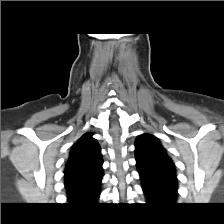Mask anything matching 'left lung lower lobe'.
<instances>
[{
    "mask_svg": "<svg viewBox=\"0 0 224 224\" xmlns=\"http://www.w3.org/2000/svg\"><path fill=\"white\" fill-rule=\"evenodd\" d=\"M142 189L148 204L173 205L177 198V178L141 173Z\"/></svg>",
    "mask_w": 224,
    "mask_h": 224,
    "instance_id": "obj_1",
    "label": "left lung lower lobe"
}]
</instances>
